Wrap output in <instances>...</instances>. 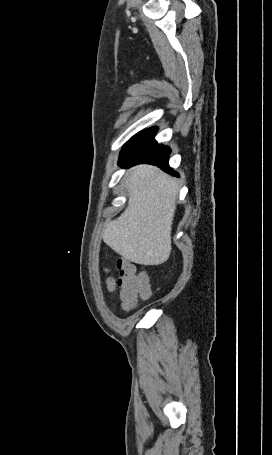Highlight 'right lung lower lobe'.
I'll return each mask as SVG.
<instances>
[{
    "label": "right lung lower lobe",
    "instance_id": "1",
    "mask_svg": "<svg viewBox=\"0 0 272 455\" xmlns=\"http://www.w3.org/2000/svg\"><path fill=\"white\" fill-rule=\"evenodd\" d=\"M157 128H148L132 137L120 153L119 165L122 167L133 166L140 163L153 164L167 173L178 176L168 165L171 149L159 145L154 136Z\"/></svg>",
    "mask_w": 272,
    "mask_h": 455
}]
</instances>
